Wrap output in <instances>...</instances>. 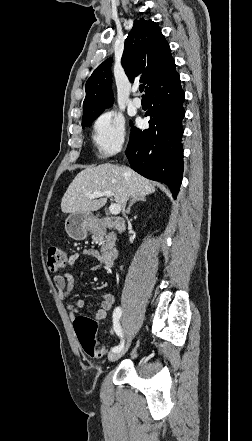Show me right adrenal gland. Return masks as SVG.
I'll use <instances>...</instances> for the list:
<instances>
[{"label":"right adrenal gland","mask_w":252,"mask_h":441,"mask_svg":"<svg viewBox=\"0 0 252 441\" xmlns=\"http://www.w3.org/2000/svg\"><path fill=\"white\" fill-rule=\"evenodd\" d=\"M138 201H145V198H133L131 201H130V203H129V206H128V208H127V211H126V213L127 214H130V210H131V207L136 203V202H138Z\"/></svg>","instance_id":"1"}]
</instances>
